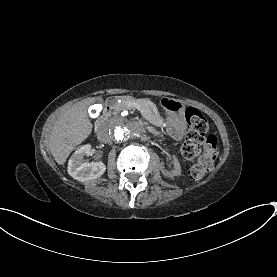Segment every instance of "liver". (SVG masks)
Masks as SVG:
<instances>
[{"label": "liver", "mask_w": 277, "mask_h": 277, "mask_svg": "<svg viewBox=\"0 0 277 277\" xmlns=\"http://www.w3.org/2000/svg\"><path fill=\"white\" fill-rule=\"evenodd\" d=\"M98 98H88L65 111L55 122L49 138V149L55 161L63 165L72 150L92 132L88 107Z\"/></svg>", "instance_id": "6515ba94"}]
</instances>
